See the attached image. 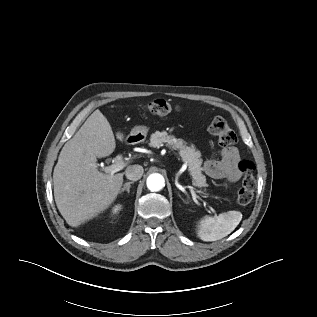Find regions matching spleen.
Masks as SVG:
<instances>
[{
  "label": "spleen",
  "instance_id": "spleen-1",
  "mask_svg": "<svg viewBox=\"0 0 317 317\" xmlns=\"http://www.w3.org/2000/svg\"><path fill=\"white\" fill-rule=\"evenodd\" d=\"M241 220V212L234 210L221 213L217 217L205 216L200 221L197 235L206 242L220 240L233 232Z\"/></svg>",
  "mask_w": 317,
  "mask_h": 317
}]
</instances>
